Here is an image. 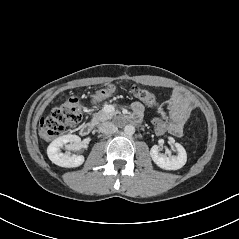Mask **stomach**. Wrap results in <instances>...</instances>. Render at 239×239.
Segmentation results:
<instances>
[{
    "label": "stomach",
    "instance_id": "obj_1",
    "mask_svg": "<svg viewBox=\"0 0 239 239\" xmlns=\"http://www.w3.org/2000/svg\"><path fill=\"white\" fill-rule=\"evenodd\" d=\"M111 96L110 92L106 89H101L97 91L94 95H92L91 102L93 104L99 103Z\"/></svg>",
    "mask_w": 239,
    "mask_h": 239
}]
</instances>
